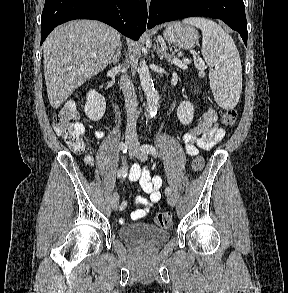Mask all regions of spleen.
<instances>
[{"label": "spleen", "mask_w": 288, "mask_h": 293, "mask_svg": "<svg viewBox=\"0 0 288 293\" xmlns=\"http://www.w3.org/2000/svg\"><path fill=\"white\" fill-rule=\"evenodd\" d=\"M183 23L202 31V55L210 67L209 81L215 101L224 109L234 108L242 91V65L232 37L210 19L191 17Z\"/></svg>", "instance_id": "spleen-1"}]
</instances>
